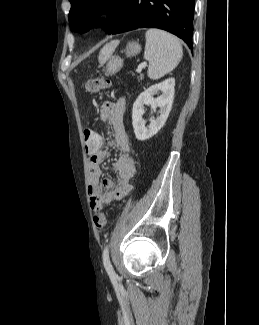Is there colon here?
<instances>
[{
  "label": "colon",
  "instance_id": "colon-1",
  "mask_svg": "<svg viewBox=\"0 0 259 325\" xmlns=\"http://www.w3.org/2000/svg\"><path fill=\"white\" fill-rule=\"evenodd\" d=\"M110 85V81L106 78L91 79L86 84V89L90 93H96L106 90ZM84 140L86 149H100L102 145V136L98 135V130L85 129ZM106 216L103 212H97L93 216L95 227L102 230L106 226Z\"/></svg>",
  "mask_w": 259,
  "mask_h": 325
}]
</instances>
